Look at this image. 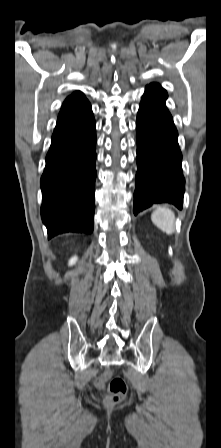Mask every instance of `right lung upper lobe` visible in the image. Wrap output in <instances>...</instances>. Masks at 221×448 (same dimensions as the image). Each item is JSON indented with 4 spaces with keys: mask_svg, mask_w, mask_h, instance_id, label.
<instances>
[{
    "mask_svg": "<svg viewBox=\"0 0 221 448\" xmlns=\"http://www.w3.org/2000/svg\"><path fill=\"white\" fill-rule=\"evenodd\" d=\"M82 95L83 94L80 91H76L74 94H72L71 96L67 97L63 104H65V103H67V102H69V101H71L73 99H76V98H78V97H80Z\"/></svg>",
    "mask_w": 221,
    "mask_h": 448,
    "instance_id": "cb5924a9",
    "label": "right lung upper lobe"
}]
</instances>
